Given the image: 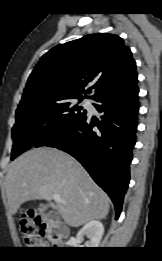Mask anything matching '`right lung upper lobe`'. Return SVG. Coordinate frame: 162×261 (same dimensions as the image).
<instances>
[{
    "instance_id": "cb5924a9",
    "label": "right lung upper lobe",
    "mask_w": 162,
    "mask_h": 261,
    "mask_svg": "<svg viewBox=\"0 0 162 261\" xmlns=\"http://www.w3.org/2000/svg\"><path fill=\"white\" fill-rule=\"evenodd\" d=\"M93 85L84 90V87ZM136 63L130 48L114 34L97 33L60 44L32 71L21 102L38 96L71 95L96 99L135 86Z\"/></svg>"
}]
</instances>
